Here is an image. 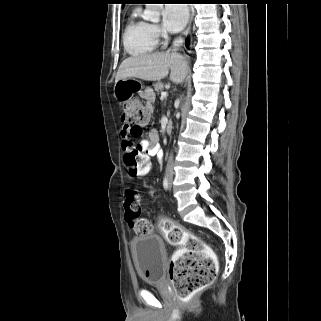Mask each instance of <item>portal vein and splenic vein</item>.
<instances>
[{
  "mask_svg": "<svg viewBox=\"0 0 321 321\" xmlns=\"http://www.w3.org/2000/svg\"><path fill=\"white\" fill-rule=\"evenodd\" d=\"M167 97V92H162L161 93V99H164V98H166Z\"/></svg>",
  "mask_w": 321,
  "mask_h": 321,
  "instance_id": "obj_1",
  "label": "portal vein and splenic vein"
}]
</instances>
